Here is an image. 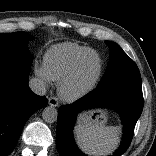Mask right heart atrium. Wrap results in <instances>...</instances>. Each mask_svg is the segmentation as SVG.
<instances>
[{"label":"right heart atrium","instance_id":"obj_1","mask_svg":"<svg viewBox=\"0 0 156 156\" xmlns=\"http://www.w3.org/2000/svg\"><path fill=\"white\" fill-rule=\"evenodd\" d=\"M34 72H35L36 76L42 82H44L46 85H48L51 82V79H50L49 75L47 74L46 69H45L44 66L35 65Z\"/></svg>","mask_w":156,"mask_h":156}]
</instances>
